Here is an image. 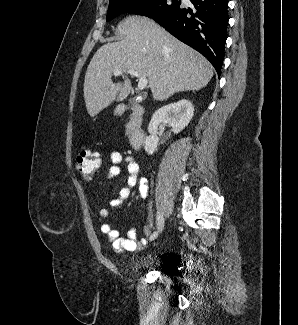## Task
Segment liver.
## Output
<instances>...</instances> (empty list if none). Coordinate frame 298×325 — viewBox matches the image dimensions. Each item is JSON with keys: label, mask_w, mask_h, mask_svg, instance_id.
<instances>
[{"label": "liver", "mask_w": 298, "mask_h": 325, "mask_svg": "<svg viewBox=\"0 0 298 325\" xmlns=\"http://www.w3.org/2000/svg\"><path fill=\"white\" fill-rule=\"evenodd\" d=\"M117 32L125 34L123 40L100 46L85 72L83 94L90 116L130 94L126 70L147 76L153 100H167L182 90H200L213 76V66L205 56L147 16H127ZM116 68L123 70V80L113 82Z\"/></svg>", "instance_id": "6515ba94"}]
</instances>
